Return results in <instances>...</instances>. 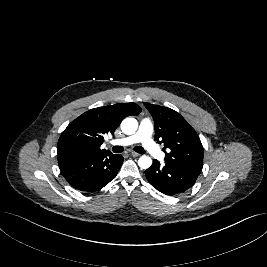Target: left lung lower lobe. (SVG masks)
I'll use <instances>...</instances> for the list:
<instances>
[{"label": "left lung lower lobe", "instance_id": "1", "mask_svg": "<svg viewBox=\"0 0 267 267\" xmlns=\"http://www.w3.org/2000/svg\"><path fill=\"white\" fill-rule=\"evenodd\" d=\"M149 183L166 195L182 193L193 186L199 175L177 169L168 165H161L154 160L150 168L145 171Z\"/></svg>", "mask_w": 267, "mask_h": 267}]
</instances>
